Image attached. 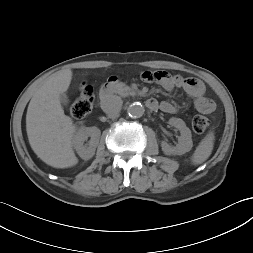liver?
Segmentation results:
<instances>
[{
    "label": "liver",
    "instance_id": "obj_1",
    "mask_svg": "<svg viewBox=\"0 0 253 253\" xmlns=\"http://www.w3.org/2000/svg\"><path fill=\"white\" fill-rule=\"evenodd\" d=\"M72 79L70 69L52 74L34 93L26 114V131L34 153L54 168L75 166L73 151L76 125L64 114L59 101Z\"/></svg>",
    "mask_w": 253,
    "mask_h": 253
}]
</instances>
